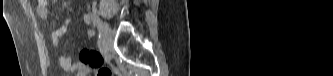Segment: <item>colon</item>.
<instances>
[{"label":"colon","instance_id":"5ec220e1","mask_svg":"<svg viewBox=\"0 0 333 76\" xmlns=\"http://www.w3.org/2000/svg\"><path fill=\"white\" fill-rule=\"evenodd\" d=\"M112 75H113V73L111 72V70L107 69V68L102 69V70L98 71V73H97V76H112Z\"/></svg>","mask_w":333,"mask_h":76}]
</instances>
